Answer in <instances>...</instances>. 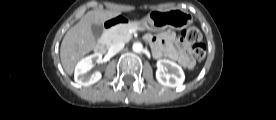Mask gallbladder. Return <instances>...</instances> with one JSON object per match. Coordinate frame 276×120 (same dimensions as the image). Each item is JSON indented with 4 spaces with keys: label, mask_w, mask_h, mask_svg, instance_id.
<instances>
[{
    "label": "gallbladder",
    "mask_w": 276,
    "mask_h": 120,
    "mask_svg": "<svg viewBox=\"0 0 276 120\" xmlns=\"http://www.w3.org/2000/svg\"><path fill=\"white\" fill-rule=\"evenodd\" d=\"M91 30L96 39H99L103 34V26L100 24H93Z\"/></svg>",
    "instance_id": "1"
}]
</instances>
